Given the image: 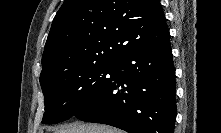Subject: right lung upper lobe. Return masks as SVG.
<instances>
[{"instance_id":"1","label":"right lung upper lobe","mask_w":221,"mask_h":133,"mask_svg":"<svg viewBox=\"0 0 221 133\" xmlns=\"http://www.w3.org/2000/svg\"><path fill=\"white\" fill-rule=\"evenodd\" d=\"M167 38L159 0H65L45 44L41 76L62 65L112 63Z\"/></svg>"}]
</instances>
